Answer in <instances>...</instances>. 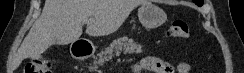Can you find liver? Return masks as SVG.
<instances>
[{
  "instance_id": "1",
  "label": "liver",
  "mask_w": 244,
  "mask_h": 73,
  "mask_svg": "<svg viewBox=\"0 0 244 73\" xmlns=\"http://www.w3.org/2000/svg\"><path fill=\"white\" fill-rule=\"evenodd\" d=\"M145 0H46L42 14L30 29L16 56L15 66L36 58L51 45H66L82 34L87 19H94L86 33L105 36L117 31L131 11Z\"/></svg>"
}]
</instances>
